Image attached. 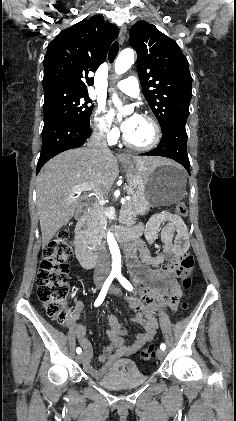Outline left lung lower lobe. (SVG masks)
<instances>
[{"mask_svg":"<svg viewBox=\"0 0 236 421\" xmlns=\"http://www.w3.org/2000/svg\"><path fill=\"white\" fill-rule=\"evenodd\" d=\"M184 118L174 119L164 130L160 144L152 151L140 155L163 156L183 165L190 174V162L187 154V133Z\"/></svg>","mask_w":236,"mask_h":421,"instance_id":"obj_1","label":"left lung lower lobe"}]
</instances>
